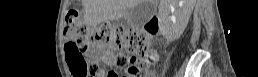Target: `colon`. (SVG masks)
I'll use <instances>...</instances> for the list:
<instances>
[{
    "label": "colon",
    "instance_id": "colon-1",
    "mask_svg": "<svg viewBox=\"0 0 258 77\" xmlns=\"http://www.w3.org/2000/svg\"><path fill=\"white\" fill-rule=\"evenodd\" d=\"M64 36L69 40L65 52L73 77L94 73L97 66L88 64L86 54L90 50L103 48L128 52L129 57L121 62L127 77L153 74L151 62L154 57L150 53L153 34L150 32L143 34L114 23L91 26L77 12L69 11Z\"/></svg>",
    "mask_w": 258,
    "mask_h": 77
}]
</instances>
